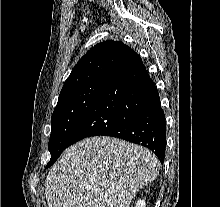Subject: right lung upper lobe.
<instances>
[{"label":"right lung upper lobe","mask_w":220,"mask_h":207,"mask_svg":"<svg viewBox=\"0 0 220 207\" xmlns=\"http://www.w3.org/2000/svg\"><path fill=\"white\" fill-rule=\"evenodd\" d=\"M140 60L134 50L120 41L101 42L78 61L65 81L60 95L92 81L107 79Z\"/></svg>","instance_id":"right-lung-upper-lobe-1"}]
</instances>
